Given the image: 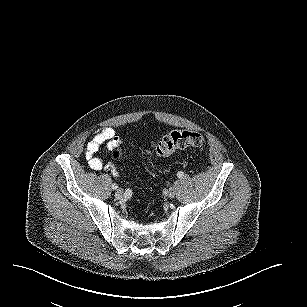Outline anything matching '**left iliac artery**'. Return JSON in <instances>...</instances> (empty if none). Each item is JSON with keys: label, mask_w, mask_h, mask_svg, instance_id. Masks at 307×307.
<instances>
[{"label": "left iliac artery", "mask_w": 307, "mask_h": 307, "mask_svg": "<svg viewBox=\"0 0 307 307\" xmlns=\"http://www.w3.org/2000/svg\"><path fill=\"white\" fill-rule=\"evenodd\" d=\"M177 176H178L179 178H182V177L184 176V173H183L182 171H179V172L177 173Z\"/></svg>", "instance_id": "44dca946"}]
</instances>
